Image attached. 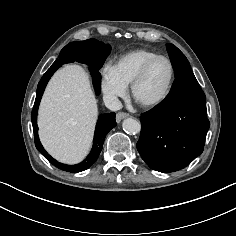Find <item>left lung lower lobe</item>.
Returning a JSON list of instances; mask_svg holds the SVG:
<instances>
[{
	"mask_svg": "<svg viewBox=\"0 0 236 236\" xmlns=\"http://www.w3.org/2000/svg\"><path fill=\"white\" fill-rule=\"evenodd\" d=\"M140 119L137 149L153 170L174 172L199 156L210 123L205 94L192 70L178 74L166 98Z\"/></svg>",
	"mask_w": 236,
	"mask_h": 236,
	"instance_id": "1",
	"label": "left lung lower lobe"
}]
</instances>
